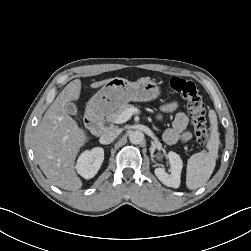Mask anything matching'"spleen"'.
Returning a JSON list of instances; mask_svg holds the SVG:
<instances>
[{"label":"spleen","mask_w":251,"mask_h":251,"mask_svg":"<svg viewBox=\"0 0 251 251\" xmlns=\"http://www.w3.org/2000/svg\"><path fill=\"white\" fill-rule=\"evenodd\" d=\"M209 119L210 140L207 143L208 152L196 153L187 162L186 185L190 190L198 189L209 180L218 158L220 139L215 111H209Z\"/></svg>","instance_id":"obj_1"}]
</instances>
